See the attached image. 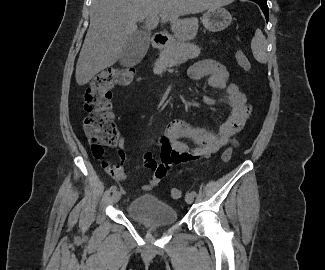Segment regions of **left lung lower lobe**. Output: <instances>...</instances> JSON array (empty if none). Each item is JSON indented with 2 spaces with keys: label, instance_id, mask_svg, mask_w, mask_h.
Returning a JSON list of instances; mask_svg holds the SVG:
<instances>
[{
  "label": "left lung lower lobe",
  "instance_id": "1",
  "mask_svg": "<svg viewBox=\"0 0 325 270\" xmlns=\"http://www.w3.org/2000/svg\"><path fill=\"white\" fill-rule=\"evenodd\" d=\"M252 1L256 2L261 7L265 15V18L268 21V6L266 0H252Z\"/></svg>",
  "mask_w": 325,
  "mask_h": 270
}]
</instances>
